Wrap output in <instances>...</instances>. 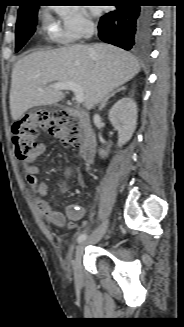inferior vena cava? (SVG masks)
<instances>
[{
    "label": "inferior vena cava",
    "instance_id": "602c4592",
    "mask_svg": "<svg viewBox=\"0 0 184 327\" xmlns=\"http://www.w3.org/2000/svg\"><path fill=\"white\" fill-rule=\"evenodd\" d=\"M95 32V27L93 25H88L85 28V38H90Z\"/></svg>",
    "mask_w": 184,
    "mask_h": 327
}]
</instances>
